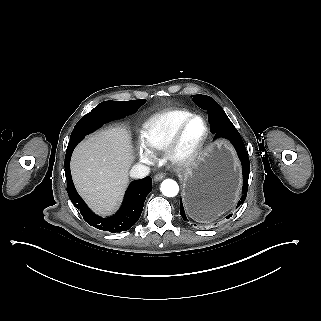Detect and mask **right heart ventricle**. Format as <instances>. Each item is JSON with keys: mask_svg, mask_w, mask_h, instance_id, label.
Returning a JSON list of instances; mask_svg holds the SVG:
<instances>
[{"mask_svg": "<svg viewBox=\"0 0 321 321\" xmlns=\"http://www.w3.org/2000/svg\"><path fill=\"white\" fill-rule=\"evenodd\" d=\"M193 115L186 108H170L151 115L142 125L141 141L154 154H161L176 126Z\"/></svg>", "mask_w": 321, "mask_h": 321, "instance_id": "1", "label": "right heart ventricle"}]
</instances>
